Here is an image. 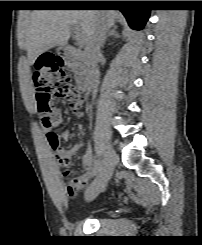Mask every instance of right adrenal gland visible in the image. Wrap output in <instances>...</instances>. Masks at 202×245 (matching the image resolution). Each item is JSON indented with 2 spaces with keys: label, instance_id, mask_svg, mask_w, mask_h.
<instances>
[{
  "label": "right adrenal gland",
  "instance_id": "obj_1",
  "mask_svg": "<svg viewBox=\"0 0 202 245\" xmlns=\"http://www.w3.org/2000/svg\"><path fill=\"white\" fill-rule=\"evenodd\" d=\"M116 29H117V27H113L112 29H110L109 30V32H108V35L106 36V38H105V40H104V42H103V47H104V45L106 44V41H107V39L109 38V37H114V38H119L120 37V35H119V33L116 31Z\"/></svg>",
  "mask_w": 202,
  "mask_h": 245
}]
</instances>
